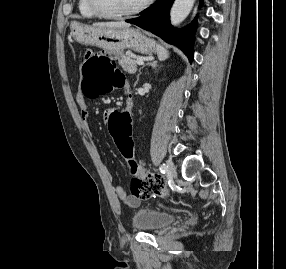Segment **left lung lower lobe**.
<instances>
[{"label": "left lung lower lobe", "instance_id": "1", "mask_svg": "<svg viewBox=\"0 0 286 269\" xmlns=\"http://www.w3.org/2000/svg\"><path fill=\"white\" fill-rule=\"evenodd\" d=\"M173 2L174 0H157L152 7L142 12V16L126 20V22L151 31L166 42L178 46L192 62L196 21H193L183 29L172 28L170 25L169 9Z\"/></svg>", "mask_w": 286, "mask_h": 269}]
</instances>
